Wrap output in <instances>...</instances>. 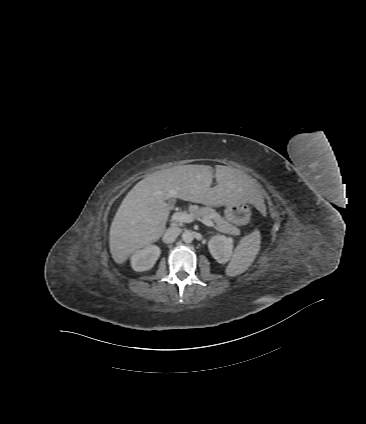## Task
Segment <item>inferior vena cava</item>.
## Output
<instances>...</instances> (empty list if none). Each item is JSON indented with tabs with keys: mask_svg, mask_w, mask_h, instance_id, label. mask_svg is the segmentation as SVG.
Wrapping results in <instances>:
<instances>
[{
	"mask_svg": "<svg viewBox=\"0 0 366 424\" xmlns=\"http://www.w3.org/2000/svg\"><path fill=\"white\" fill-rule=\"evenodd\" d=\"M181 232H182L181 228L170 227L166 230L163 239L164 241L174 240L180 235Z\"/></svg>",
	"mask_w": 366,
	"mask_h": 424,
	"instance_id": "602c4592",
	"label": "inferior vena cava"
}]
</instances>
